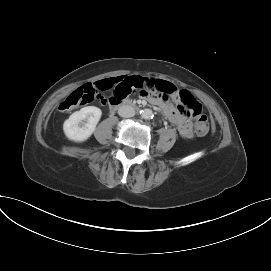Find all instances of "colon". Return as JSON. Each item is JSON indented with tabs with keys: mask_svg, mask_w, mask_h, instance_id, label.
<instances>
[{
	"mask_svg": "<svg viewBox=\"0 0 271 271\" xmlns=\"http://www.w3.org/2000/svg\"><path fill=\"white\" fill-rule=\"evenodd\" d=\"M159 89L166 88L159 86ZM95 97H97V92L93 88L82 86L66 97L60 104L59 110L63 112L71 111L91 102ZM110 100H112V97ZM179 104L182 115L185 118L195 120L196 133L199 136L206 135L209 132V121L206 115L202 114L200 103L188 91L182 90L179 92Z\"/></svg>",
	"mask_w": 271,
	"mask_h": 271,
	"instance_id": "obj_1",
	"label": "colon"
}]
</instances>
